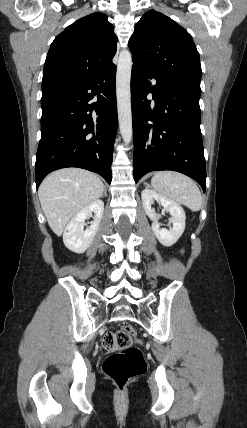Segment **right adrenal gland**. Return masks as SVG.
I'll use <instances>...</instances> for the list:
<instances>
[{"instance_id": "2a0ac1e0", "label": "right adrenal gland", "mask_w": 247, "mask_h": 428, "mask_svg": "<svg viewBox=\"0 0 247 428\" xmlns=\"http://www.w3.org/2000/svg\"><path fill=\"white\" fill-rule=\"evenodd\" d=\"M103 195H104L105 197H107V190H106V188L104 189V193H103Z\"/></svg>"}]
</instances>
